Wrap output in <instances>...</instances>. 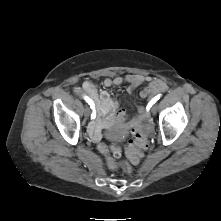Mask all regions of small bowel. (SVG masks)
<instances>
[{"instance_id":"c3829d8e","label":"small bowel","mask_w":221,"mask_h":221,"mask_svg":"<svg viewBox=\"0 0 221 221\" xmlns=\"http://www.w3.org/2000/svg\"><path fill=\"white\" fill-rule=\"evenodd\" d=\"M124 82L129 84V92H133L136 87L146 83V88L140 93L142 98H150L167 89V84L164 80L141 74L109 77L103 81V85L109 88L119 86ZM75 92L78 95L88 97L94 104L97 120L89 126V133L94 140H100L102 129L109 127L116 118L125 119V110L119 107V104L111 97L108 91H99L93 82L85 81L80 87L76 88ZM144 116V110L139 109V116L135 119V122L138 123Z\"/></svg>"}]
</instances>
